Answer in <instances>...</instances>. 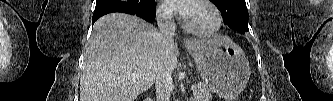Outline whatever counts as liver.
<instances>
[{"instance_id":"1","label":"liver","mask_w":333,"mask_h":101,"mask_svg":"<svg viewBox=\"0 0 333 101\" xmlns=\"http://www.w3.org/2000/svg\"><path fill=\"white\" fill-rule=\"evenodd\" d=\"M177 55V45L162 55L159 32L146 21L123 13L105 15L94 24L86 49L80 101H135L160 71H174Z\"/></svg>"}]
</instances>
